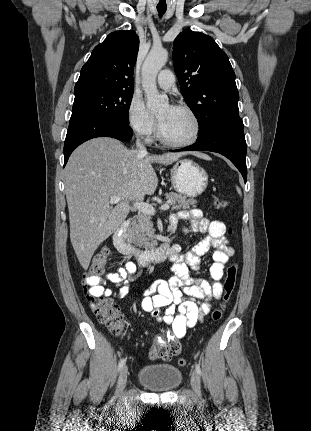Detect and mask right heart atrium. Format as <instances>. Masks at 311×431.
I'll return each instance as SVG.
<instances>
[{
	"label": "right heart atrium",
	"instance_id": "obj_1",
	"mask_svg": "<svg viewBox=\"0 0 311 431\" xmlns=\"http://www.w3.org/2000/svg\"><path fill=\"white\" fill-rule=\"evenodd\" d=\"M126 123L136 137L147 142L153 139L157 129L156 118L136 95H132L128 102Z\"/></svg>",
	"mask_w": 311,
	"mask_h": 431
}]
</instances>
